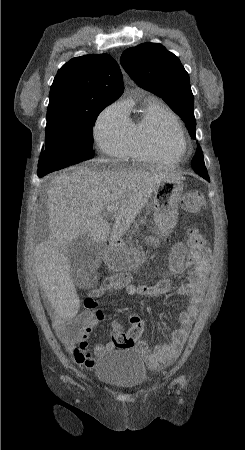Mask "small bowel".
<instances>
[{"instance_id":"obj_1","label":"small bowel","mask_w":245,"mask_h":450,"mask_svg":"<svg viewBox=\"0 0 245 450\" xmlns=\"http://www.w3.org/2000/svg\"><path fill=\"white\" fill-rule=\"evenodd\" d=\"M150 243L158 242L155 238H149ZM187 266L192 267V271L188 275V281L176 287L171 278L182 273ZM211 272V257L208 260H202L197 253L192 250H187L184 242H176L171 251L169 265L165 269H156L152 271V276L156 280L154 286L134 285L127 283L123 286L113 287L111 290L123 289L130 297H144L148 300H153L164 294L176 293L184 295L188 298L189 304L187 308L180 312L178 320L179 328L174 330L170 335V341L163 344H157L153 349L149 347L146 339H140L134 345V349L142 358L144 363L152 370H159L164 366L172 364L180 354L182 346L184 345L192 323L199 313L203 302V295L207 283L208 275ZM59 285L69 289L70 284L67 281L59 282ZM88 307H92L89 305ZM94 311H91L93 313ZM52 323L58 338L65 345L68 353L73 357L77 364L91 367L94 363L95 356H101L116 347H120L113 337L106 343H97L93 349L90 348L87 342L88 335L85 336V345L75 341L68 340L62 334L57 326L64 322L75 319V315L62 316L58 313H52ZM114 330H121L122 326L118 323L113 325ZM83 357V360H81ZM86 357V361H85Z\"/></svg>"}]
</instances>
